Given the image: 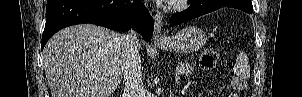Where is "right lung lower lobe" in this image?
Returning <instances> with one entry per match:
<instances>
[{
  "mask_svg": "<svg viewBox=\"0 0 302 97\" xmlns=\"http://www.w3.org/2000/svg\"><path fill=\"white\" fill-rule=\"evenodd\" d=\"M92 23L112 30L137 28L146 41L153 34V19L141 0H48L41 50L60 29Z\"/></svg>",
  "mask_w": 302,
  "mask_h": 97,
  "instance_id": "98d812e1",
  "label": "right lung lower lobe"
}]
</instances>
